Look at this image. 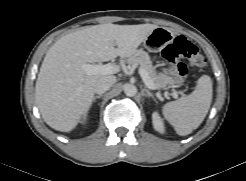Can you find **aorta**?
I'll return each instance as SVG.
<instances>
[{"instance_id":"762f6f07","label":"aorta","mask_w":246,"mask_h":181,"mask_svg":"<svg viewBox=\"0 0 246 181\" xmlns=\"http://www.w3.org/2000/svg\"><path fill=\"white\" fill-rule=\"evenodd\" d=\"M124 93L126 96L133 97L137 94V88L133 84H126L124 86Z\"/></svg>"}]
</instances>
